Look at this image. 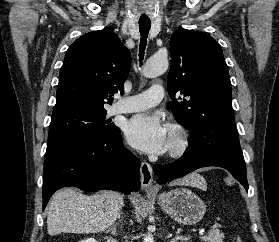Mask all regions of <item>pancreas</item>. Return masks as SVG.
<instances>
[{"mask_svg": "<svg viewBox=\"0 0 279 242\" xmlns=\"http://www.w3.org/2000/svg\"><path fill=\"white\" fill-rule=\"evenodd\" d=\"M223 238H224V234L220 233V231L216 229V230L209 231V233H207L201 239L204 242H222Z\"/></svg>", "mask_w": 279, "mask_h": 242, "instance_id": "1", "label": "pancreas"}]
</instances>
